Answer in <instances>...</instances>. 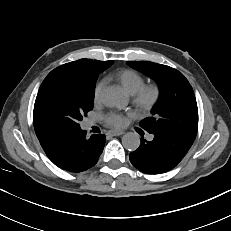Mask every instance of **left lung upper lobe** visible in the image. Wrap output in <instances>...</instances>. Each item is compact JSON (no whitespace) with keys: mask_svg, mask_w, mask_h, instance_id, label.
Segmentation results:
<instances>
[{"mask_svg":"<svg viewBox=\"0 0 231 231\" xmlns=\"http://www.w3.org/2000/svg\"><path fill=\"white\" fill-rule=\"evenodd\" d=\"M132 68L152 77L159 84L160 96L151 117L141 122L147 132H160L195 139L198 108L193 89L178 70L148 61H128Z\"/></svg>","mask_w":231,"mask_h":231,"instance_id":"1","label":"left lung upper lobe"}]
</instances>
